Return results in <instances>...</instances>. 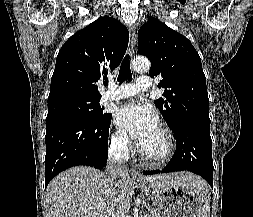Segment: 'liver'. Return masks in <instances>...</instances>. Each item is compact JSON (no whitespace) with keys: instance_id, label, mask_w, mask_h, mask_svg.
Instances as JSON below:
<instances>
[{"instance_id":"liver-1","label":"liver","mask_w":253,"mask_h":217,"mask_svg":"<svg viewBox=\"0 0 253 217\" xmlns=\"http://www.w3.org/2000/svg\"><path fill=\"white\" fill-rule=\"evenodd\" d=\"M120 187H113L110 177L88 166L72 167L56 176L47 187L51 217H125L134 195L133 181L128 177ZM178 183L199 188L202 192L206 182L190 172H177L146 177L151 188L164 182ZM112 188H119L114 196ZM148 197L152 195L142 189Z\"/></svg>"}]
</instances>
